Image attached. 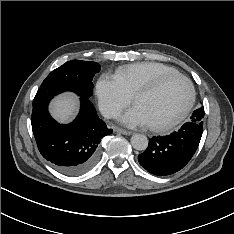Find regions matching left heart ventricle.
<instances>
[{"label":"left heart ventricle","mask_w":234,"mask_h":234,"mask_svg":"<svg viewBox=\"0 0 234 234\" xmlns=\"http://www.w3.org/2000/svg\"><path fill=\"white\" fill-rule=\"evenodd\" d=\"M189 99V89L180 79H173L157 91L137 98L138 106L146 116L149 125L168 122L178 116Z\"/></svg>","instance_id":"b2bd125f"}]
</instances>
